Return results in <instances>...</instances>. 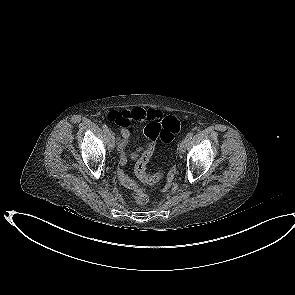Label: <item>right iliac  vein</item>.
Here are the masks:
<instances>
[{"instance_id": "right-iliac-vein-1", "label": "right iliac vein", "mask_w": 295, "mask_h": 295, "mask_svg": "<svg viewBox=\"0 0 295 295\" xmlns=\"http://www.w3.org/2000/svg\"><path fill=\"white\" fill-rule=\"evenodd\" d=\"M108 145L111 150L115 147V137L112 132H109L108 134Z\"/></svg>"}]
</instances>
